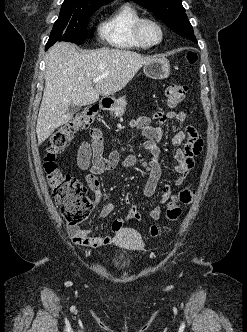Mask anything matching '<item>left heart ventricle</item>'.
<instances>
[{"instance_id":"b2bd125f","label":"left heart ventricle","mask_w":247,"mask_h":332,"mask_svg":"<svg viewBox=\"0 0 247 332\" xmlns=\"http://www.w3.org/2000/svg\"><path fill=\"white\" fill-rule=\"evenodd\" d=\"M142 34L144 39L149 43L158 41L160 37L157 26L151 22H147L143 25Z\"/></svg>"}]
</instances>
